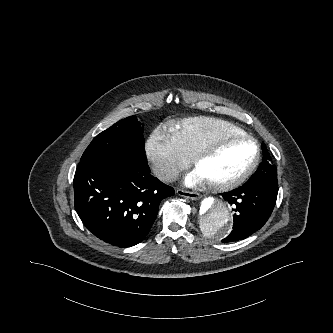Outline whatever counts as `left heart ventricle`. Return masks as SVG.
Masks as SVG:
<instances>
[{
  "mask_svg": "<svg viewBox=\"0 0 333 333\" xmlns=\"http://www.w3.org/2000/svg\"><path fill=\"white\" fill-rule=\"evenodd\" d=\"M254 155L255 146L249 141H224L199 163L196 170L205 181H228L243 172Z\"/></svg>",
  "mask_w": 333,
  "mask_h": 333,
  "instance_id": "1",
  "label": "left heart ventricle"
}]
</instances>
